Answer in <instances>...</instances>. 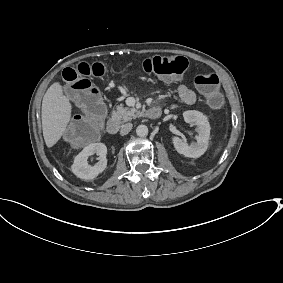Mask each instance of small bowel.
Segmentation results:
<instances>
[{"instance_id":"small-bowel-1","label":"small bowel","mask_w":283,"mask_h":283,"mask_svg":"<svg viewBox=\"0 0 283 283\" xmlns=\"http://www.w3.org/2000/svg\"><path fill=\"white\" fill-rule=\"evenodd\" d=\"M176 92L179 98L186 104H194L196 101V94L191 87L181 84L177 87Z\"/></svg>"}]
</instances>
